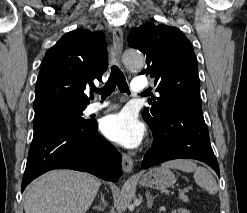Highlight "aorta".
<instances>
[{"instance_id": "762f6f07", "label": "aorta", "mask_w": 247, "mask_h": 213, "mask_svg": "<svg viewBox=\"0 0 247 213\" xmlns=\"http://www.w3.org/2000/svg\"><path fill=\"white\" fill-rule=\"evenodd\" d=\"M125 66L130 70H141L144 66V56L141 52L133 49H128L123 54Z\"/></svg>"}]
</instances>
